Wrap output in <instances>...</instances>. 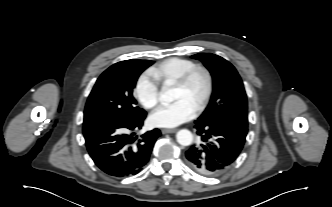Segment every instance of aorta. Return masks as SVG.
<instances>
[{
    "label": "aorta",
    "instance_id": "obj_1",
    "mask_svg": "<svg viewBox=\"0 0 332 207\" xmlns=\"http://www.w3.org/2000/svg\"><path fill=\"white\" fill-rule=\"evenodd\" d=\"M160 99L165 102H172L176 99L175 90L173 88H165L160 95ZM177 142L180 145L188 146L193 142V135L187 129H182L176 134Z\"/></svg>",
    "mask_w": 332,
    "mask_h": 207
}]
</instances>
